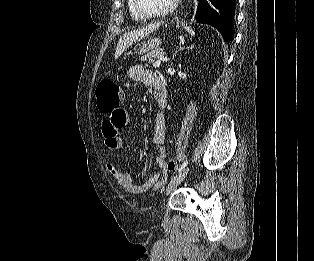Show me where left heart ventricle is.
I'll return each instance as SVG.
<instances>
[{
  "instance_id": "left-heart-ventricle-1",
  "label": "left heart ventricle",
  "mask_w": 314,
  "mask_h": 261,
  "mask_svg": "<svg viewBox=\"0 0 314 261\" xmlns=\"http://www.w3.org/2000/svg\"><path fill=\"white\" fill-rule=\"evenodd\" d=\"M173 0H140L143 8L149 11H162L168 8Z\"/></svg>"
}]
</instances>
